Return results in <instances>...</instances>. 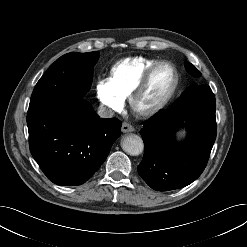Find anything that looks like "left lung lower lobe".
I'll return each mask as SVG.
<instances>
[{"instance_id":"left-lung-lower-lobe-1","label":"left lung lower lobe","mask_w":247,"mask_h":247,"mask_svg":"<svg viewBox=\"0 0 247 247\" xmlns=\"http://www.w3.org/2000/svg\"><path fill=\"white\" fill-rule=\"evenodd\" d=\"M215 109L212 90L208 85H200L144 124L140 132L144 156L137 169L151 188L174 190L200 176L216 139ZM183 121L190 135L185 143L178 145L173 134Z\"/></svg>"}]
</instances>
